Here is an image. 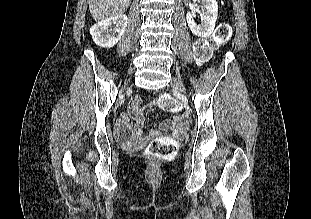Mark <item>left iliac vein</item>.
<instances>
[{
	"label": "left iliac vein",
	"instance_id": "1",
	"mask_svg": "<svg viewBox=\"0 0 311 219\" xmlns=\"http://www.w3.org/2000/svg\"><path fill=\"white\" fill-rule=\"evenodd\" d=\"M171 86H172L174 89H176V90H178L179 92H181V93H185V92H186L183 83L181 82V80L177 79L176 77H174V78L172 79Z\"/></svg>",
	"mask_w": 311,
	"mask_h": 219
}]
</instances>
